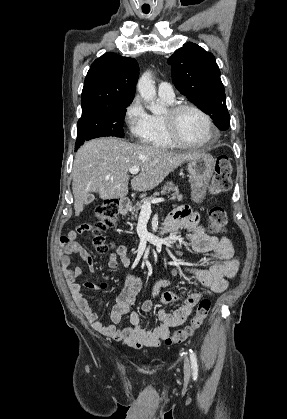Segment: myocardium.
Listing matches in <instances>:
<instances>
[{"label": "myocardium", "instance_id": "f54148a6", "mask_svg": "<svg viewBox=\"0 0 287 419\" xmlns=\"http://www.w3.org/2000/svg\"><path fill=\"white\" fill-rule=\"evenodd\" d=\"M186 109L196 111L206 121L210 133H209L208 138L204 140L203 142L190 143V142L185 141L179 135L177 131V127H176V119H177L178 114ZM162 120H163L164 128L168 137L178 146H182L186 148H202V147H205L214 143L218 139V131L213 120L211 119V117L208 115L207 112H205L202 108L198 107L195 104L188 103V102L173 104L169 107L168 114L162 117Z\"/></svg>", "mask_w": 287, "mask_h": 419}]
</instances>
